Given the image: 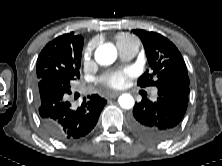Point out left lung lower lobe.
I'll return each mask as SVG.
<instances>
[{"instance_id":"0a47b994","label":"left lung lower lobe","mask_w":222,"mask_h":166,"mask_svg":"<svg viewBox=\"0 0 222 166\" xmlns=\"http://www.w3.org/2000/svg\"><path fill=\"white\" fill-rule=\"evenodd\" d=\"M158 88L157 101L142 98L135 103L130 125L133 131L148 141L170 139L178 130L188 105L189 85L165 82Z\"/></svg>"}]
</instances>
